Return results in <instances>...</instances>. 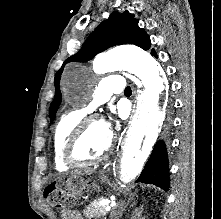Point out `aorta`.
Returning a JSON list of instances; mask_svg holds the SVG:
<instances>
[{"label":"aorta","instance_id":"aorta-1","mask_svg":"<svg viewBox=\"0 0 221 219\" xmlns=\"http://www.w3.org/2000/svg\"><path fill=\"white\" fill-rule=\"evenodd\" d=\"M118 68L134 74L143 85L136 113L115 166L118 180L122 184H127L142 171L157 139L159 127L165 120L166 77L158 61L135 46L116 48L109 53L96 56L93 61V69L98 74ZM77 74L76 68H67L63 74L64 86L68 87Z\"/></svg>","mask_w":221,"mask_h":219}]
</instances>
